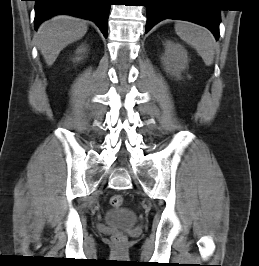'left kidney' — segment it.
Listing matches in <instances>:
<instances>
[{"instance_id":"obj_1","label":"left kidney","mask_w":259,"mask_h":266,"mask_svg":"<svg viewBox=\"0 0 259 266\" xmlns=\"http://www.w3.org/2000/svg\"><path fill=\"white\" fill-rule=\"evenodd\" d=\"M164 45L163 65L166 71L178 76L188 65V53L180 44L170 40H167Z\"/></svg>"}]
</instances>
